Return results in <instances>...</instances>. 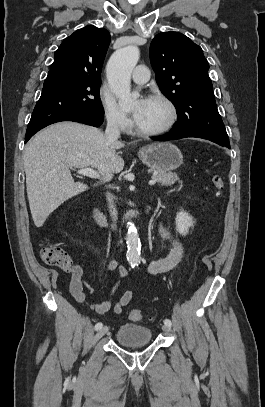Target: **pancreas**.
<instances>
[{"instance_id": "1", "label": "pancreas", "mask_w": 265, "mask_h": 407, "mask_svg": "<svg viewBox=\"0 0 265 407\" xmlns=\"http://www.w3.org/2000/svg\"><path fill=\"white\" fill-rule=\"evenodd\" d=\"M156 182L162 186H171L179 177L176 173H172L170 171H157L156 174L152 176Z\"/></svg>"}]
</instances>
